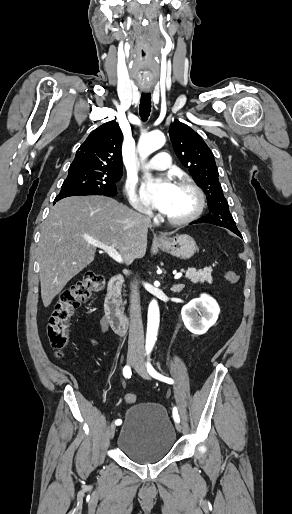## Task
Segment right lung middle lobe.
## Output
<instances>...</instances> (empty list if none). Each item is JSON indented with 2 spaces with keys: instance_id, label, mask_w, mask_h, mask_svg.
Listing matches in <instances>:
<instances>
[{
  "instance_id": "obj_1",
  "label": "right lung middle lobe",
  "mask_w": 292,
  "mask_h": 514,
  "mask_svg": "<svg viewBox=\"0 0 292 514\" xmlns=\"http://www.w3.org/2000/svg\"><path fill=\"white\" fill-rule=\"evenodd\" d=\"M122 173H68L55 200L76 195L116 196Z\"/></svg>"
}]
</instances>
